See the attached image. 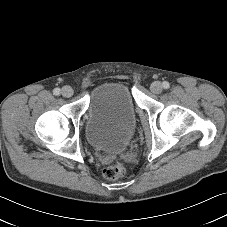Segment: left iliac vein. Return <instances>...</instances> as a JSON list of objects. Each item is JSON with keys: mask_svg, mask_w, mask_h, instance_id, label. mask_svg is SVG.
<instances>
[{"mask_svg": "<svg viewBox=\"0 0 227 227\" xmlns=\"http://www.w3.org/2000/svg\"><path fill=\"white\" fill-rule=\"evenodd\" d=\"M162 89V84L158 81L153 82L150 86V90L154 94H160L162 92Z\"/></svg>", "mask_w": 227, "mask_h": 227, "instance_id": "obj_1", "label": "left iliac vein"}]
</instances>
